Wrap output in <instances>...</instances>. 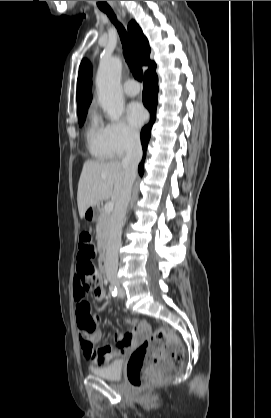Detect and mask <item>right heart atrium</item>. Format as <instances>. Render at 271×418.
I'll use <instances>...</instances> for the list:
<instances>
[{
	"label": "right heart atrium",
	"instance_id": "right-heart-atrium-1",
	"mask_svg": "<svg viewBox=\"0 0 271 418\" xmlns=\"http://www.w3.org/2000/svg\"><path fill=\"white\" fill-rule=\"evenodd\" d=\"M105 130L109 147L115 156H122L139 144L138 132L122 120L107 124Z\"/></svg>",
	"mask_w": 271,
	"mask_h": 418
}]
</instances>
